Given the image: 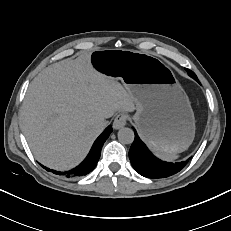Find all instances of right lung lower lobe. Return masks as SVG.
<instances>
[{"label":"right lung lower lobe","instance_id":"98d812e1","mask_svg":"<svg viewBox=\"0 0 231 231\" xmlns=\"http://www.w3.org/2000/svg\"><path fill=\"white\" fill-rule=\"evenodd\" d=\"M111 132H112V127L108 126L104 130V132L96 139V141L94 142V144L91 148L90 153L88 154L86 159L78 167H76L70 171H66V172H59V171H55V170H50L44 166L43 167L47 171H51L54 174H58V175H61V176L67 177V178H76V177H81V176L87 175L97 165V162L100 158L102 146H103L104 142L107 140V138L109 137Z\"/></svg>","mask_w":231,"mask_h":231}]
</instances>
